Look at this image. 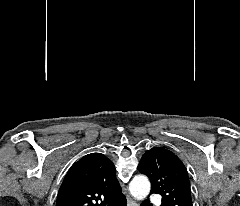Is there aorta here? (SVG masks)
<instances>
[{
  "mask_svg": "<svg viewBox=\"0 0 240 206\" xmlns=\"http://www.w3.org/2000/svg\"><path fill=\"white\" fill-rule=\"evenodd\" d=\"M150 182L146 176L137 175L129 184V190L131 195L139 200H144L150 192Z\"/></svg>",
  "mask_w": 240,
  "mask_h": 206,
  "instance_id": "obj_1",
  "label": "aorta"
}]
</instances>
